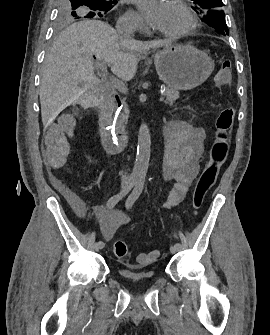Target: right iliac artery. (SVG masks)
<instances>
[{
	"instance_id": "right-iliac-artery-1",
	"label": "right iliac artery",
	"mask_w": 270,
	"mask_h": 335,
	"mask_svg": "<svg viewBox=\"0 0 270 335\" xmlns=\"http://www.w3.org/2000/svg\"><path fill=\"white\" fill-rule=\"evenodd\" d=\"M136 184L135 179H129L128 182L126 183V186L123 188L122 191H120L118 194L112 196L106 204V207L108 210H111L120 200H122L129 192L130 190L134 187ZM98 246L100 249L104 248L105 244L102 241L97 242Z\"/></svg>"
}]
</instances>
